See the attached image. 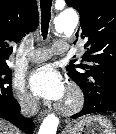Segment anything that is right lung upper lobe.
<instances>
[{"instance_id": "1", "label": "right lung upper lobe", "mask_w": 116, "mask_h": 134, "mask_svg": "<svg viewBox=\"0 0 116 134\" xmlns=\"http://www.w3.org/2000/svg\"><path fill=\"white\" fill-rule=\"evenodd\" d=\"M39 24L36 0H0V66H5L13 48L9 43L20 41Z\"/></svg>"}]
</instances>
